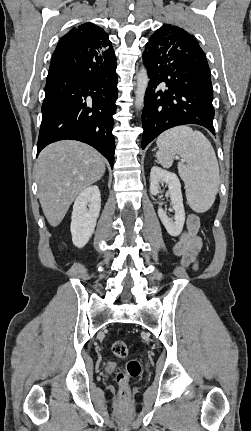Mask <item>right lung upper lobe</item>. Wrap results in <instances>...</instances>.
<instances>
[{
  "mask_svg": "<svg viewBox=\"0 0 251 431\" xmlns=\"http://www.w3.org/2000/svg\"><path fill=\"white\" fill-rule=\"evenodd\" d=\"M56 50L66 53L95 50L107 61L115 59V52L107 33L92 23H85L70 30L61 38Z\"/></svg>",
  "mask_w": 251,
  "mask_h": 431,
  "instance_id": "right-lung-upper-lobe-1",
  "label": "right lung upper lobe"
}]
</instances>
